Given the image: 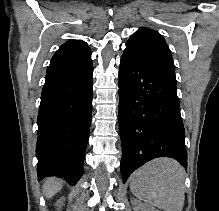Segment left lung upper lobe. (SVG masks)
<instances>
[{
  "instance_id": "left-lung-upper-lobe-1",
  "label": "left lung upper lobe",
  "mask_w": 219,
  "mask_h": 211,
  "mask_svg": "<svg viewBox=\"0 0 219 211\" xmlns=\"http://www.w3.org/2000/svg\"><path fill=\"white\" fill-rule=\"evenodd\" d=\"M175 78V66L164 38L155 30L142 27L126 43L124 50Z\"/></svg>"
}]
</instances>
